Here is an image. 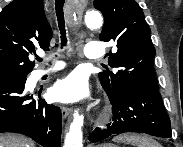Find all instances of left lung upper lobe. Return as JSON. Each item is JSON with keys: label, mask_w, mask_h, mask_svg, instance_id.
<instances>
[{"label": "left lung upper lobe", "mask_w": 183, "mask_h": 147, "mask_svg": "<svg viewBox=\"0 0 183 147\" xmlns=\"http://www.w3.org/2000/svg\"><path fill=\"white\" fill-rule=\"evenodd\" d=\"M94 7L104 16L99 39L116 44L109 52L108 69L99 73L102 87L110 96L128 86L158 90L154 70L155 48L151 31L141 7L135 0H94Z\"/></svg>", "instance_id": "5c2ea615"}]
</instances>
